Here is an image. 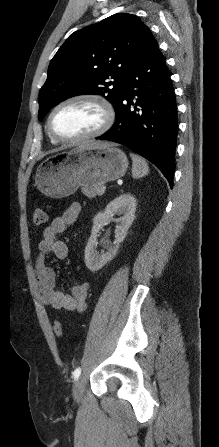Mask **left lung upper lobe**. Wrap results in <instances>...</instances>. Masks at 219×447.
Returning a JSON list of instances; mask_svg holds the SVG:
<instances>
[{"label":"left lung upper lobe","instance_id":"5c2ea615","mask_svg":"<svg viewBox=\"0 0 219 447\" xmlns=\"http://www.w3.org/2000/svg\"><path fill=\"white\" fill-rule=\"evenodd\" d=\"M152 36L135 15L118 13L72 33L50 62L39 93V120L70 97L99 94L116 109L126 76Z\"/></svg>","mask_w":219,"mask_h":447}]
</instances>
